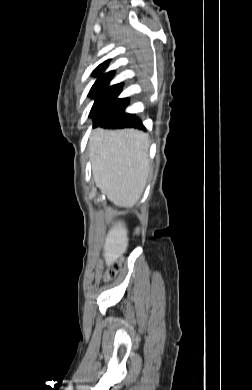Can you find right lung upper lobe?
<instances>
[{
  "label": "right lung upper lobe",
  "instance_id": "cb5924a9",
  "mask_svg": "<svg viewBox=\"0 0 252 390\" xmlns=\"http://www.w3.org/2000/svg\"><path fill=\"white\" fill-rule=\"evenodd\" d=\"M109 60L100 64L93 72L94 75H101L102 72L108 66ZM114 75V71L102 74L92 86L89 95L95 98V102L101 101H128L127 98L117 99V96L121 92L122 84H116L108 86L111 78Z\"/></svg>",
  "mask_w": 252,
  "mask_h": 390
}]
</instances>
